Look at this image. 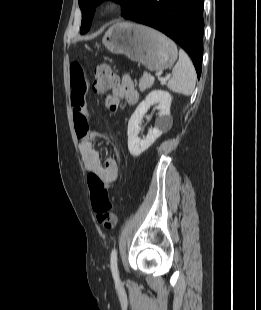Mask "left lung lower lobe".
I'll use <instances>...</instances> for the list:
<instances>
[{
  "instance_id": "obj_1",
  "label": "left lung lower lobe",
  "mask_w": 261,
  "mask_h": 310,
  "mask_svg": "<svg viewBox=\"0 0 261 310\" xmlns=\"http://www.w3.org/2000/svg\"><path fill=\"white\" fill-rule=\"evenodd\" d=\"M203 5V0H136L124 18L153 27L173 39L189 54L200 78Z\"/></svg>"
}]
</instances>
